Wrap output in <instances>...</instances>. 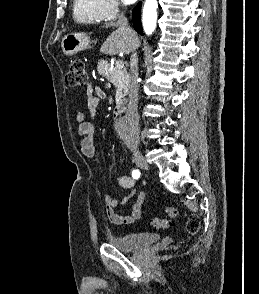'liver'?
<instances>
[{"label": "liver", "instance_id": "liver-1", "mask_svg": "<svg viewBox=\"0 0 259 294\" xmlns=\"http://www.w3.org/2000/svg\"><path fill=\"white\" fill-rule=\"evenodd\" d=\"M116 26L115 23H108L105 28ZM139 45L140 42L135 32L130 34L118 27L107 37L101 47V52L110 55L129 54L133 48L136 49Z\"/></svg>", "mask_w": 259, "mask_h": 294}]
</instances>
